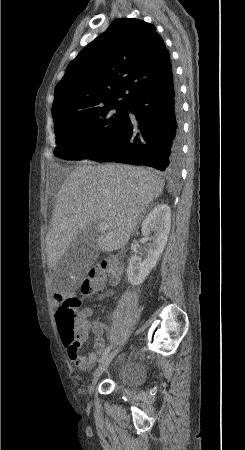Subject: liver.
<instances>
[{
	"label": "liver",
	"mask_w": 245,
	"mask_h": 450,
	"mask_svg": "<svg viewBox=\"0 0 245 450\" xmlns=\"http://www.w3.org/2000/svg\"><path fill=\"white\" fill-rule=\"evenodd\" d=\"M164 181L142 167L125 164L82 165L61 185L46 236L47 263L54 269L74 239L89 227L106 222L108 232L95 241L99 250L123 248Z\"/></svg>",
	"instance_id": "1"
}]
</instances>
